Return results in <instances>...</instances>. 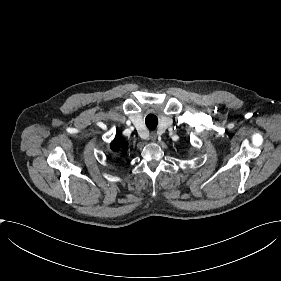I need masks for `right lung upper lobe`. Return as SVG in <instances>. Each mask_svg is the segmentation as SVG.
<instances>
[{"instance_id": "right-lung-upper-lobe-1", "label": "right lung upper lobe", "mask_w": 281, "mask_h": 281, "mask_svg": "<svg viewBox=\"0 0 281 281\" xmlns=\"http://www.w3.org/2000/svg\"><path fill=\"white\" fill-rule=\"evenodd\" d=\"M127 147H128V142H126L121 136H116L110 146L112 151L126 149Z\"/></svg>"}]
</instances>
